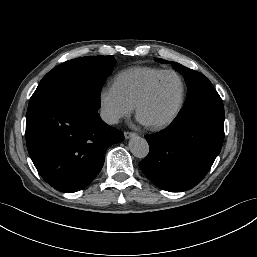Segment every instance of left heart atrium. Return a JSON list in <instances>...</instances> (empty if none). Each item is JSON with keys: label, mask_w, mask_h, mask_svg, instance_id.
Segmentation results:
<instances>
[{"label": "left heart atrium", "mask_w": 257, "mask_h": 257, "mask_svg": "<svg viewBox=\"0 0 257 257\" xmlns=\"http://www.w3.org/2000/svg\"><path fill=\"white\" fill-rule=\"evenodd\" d=\"M138 121L142 124H147V121L143 117H141L140 115L138 116Z\"/></svg>", "instance_id": "1"}]
</instances>
